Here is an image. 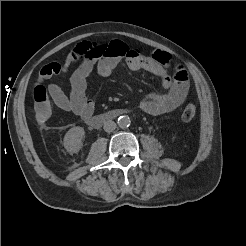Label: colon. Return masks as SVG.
<instances>
[{
  "instance_id": "1",
  "label": "colon",
  "mask_w": 246,
  "mask_h": 246,
  "mask_svg": "<svg viewBox=\"0 0 246 246\" xmlns=\"http://www.w3.org/2000/svg\"><path fill=\"white\" fill-rule=\"evenodd\" d=\"M152 56L161 62L167 63V59L159 52H155ZM33 97L35 118L37 121L43 122L49 118L52 111V105L47 90L42 85H38L34 89ZM195 115L196 106L194 104H188L182 112V119L185 122H189L194 119Z\"/></svg>"
}]
</instances>
